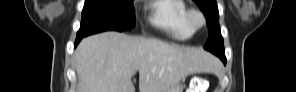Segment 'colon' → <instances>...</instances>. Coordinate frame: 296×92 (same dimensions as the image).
Returning a JSON list of instances; mask_svg holds the SVG:
<instances>
[{
	"label": "colon",
	"instance_id": "obj_1",
	"mask_svg": "<svg viewBox=\"0 0 296 92\" xmlns=\"http://www.w3.org/2000/svg\"><path fill=\"white\" fill-rule=\"evenodd\" d=\"M206 87V80L203 76H196L190 82L188 92H203Z\"/></svg>",
	"mask_w": 296,
	"mask_h": 92
}]
</instances>
